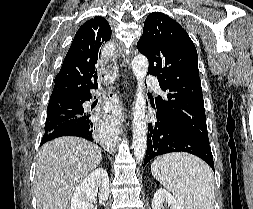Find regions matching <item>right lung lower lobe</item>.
Wrapping results in <instances>:
<instances>
[{"label": "right lung lower lobe", "mask_w": 253, "mask_h": 209, "mask_svg": "<svg viewBox=\"0 0 253 209\" xmlns=\"http://www.w3.org/2000/svg\"><path fill=\"white\" fill-rule=\"evenodd\" d=\"M91 99V93L87 96L81 98L80 100L73 101L71 103L60 105L58 103H53L48 106L47 109H60L63 107H69L73 111H81V114L76 117L69 119L55 127L45 129V134L42 138L41 145L62 136H77L87 139L89 141H94L98 138L97 129L95 123L90 116L85 114L83 109V103Z\"/></svg>", "instance_id": "right-lung-lower-lobe-1"}]
</instances>
